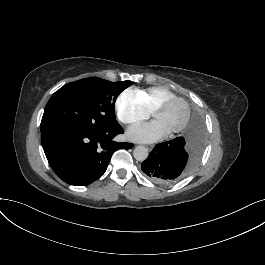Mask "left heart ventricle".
I'll return each instance as SVG.
<instances>
[{
    "label": "left heart ventricle",
    "instance_id": "obj_1",
    "mask_svg": "<svg viewBox=\"0 0 265 265\" xmlns=\"http://www.w3.org/2000/svg\"><path fill=\"white\" fill-rule=\"evenodd\" d=\"M183 113L182 104L175 101L158 110L154 116V121H157L166 131H169L181 121Z\"/></svg>",
    "mask_w": 265,
    "mask_h": 265
}]
</instances>
